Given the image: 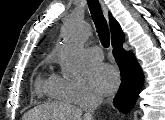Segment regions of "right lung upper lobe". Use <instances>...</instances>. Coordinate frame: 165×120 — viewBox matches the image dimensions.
Masks as SVG:
<instances>
[{
    "label": "right lung upper lobe",
    "instance_id": "1",
    "mask_svg": "<svg viewBox=\"0 0 165 120\" xmlns=\"http://www.w3.org/2000/svg\"><path fill=\"white\" fill-rule=\"evenodd\" d=\"M110 29L112 33V43L124 38V34L121 30L118 22L109 14Z\"/></svg>",
    "mask_w": 165,
    "mask_h": 120
}]
</instances>
